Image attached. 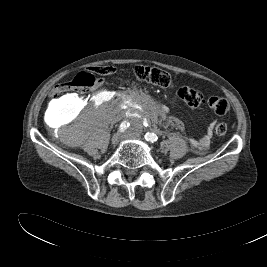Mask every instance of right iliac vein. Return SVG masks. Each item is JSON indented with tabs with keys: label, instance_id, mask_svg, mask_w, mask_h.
Here are the masks:
<instances>
[{
	"label": "right iliac vein",
	"instance_id": "obj_1",
	"mask_svg": "<svg viewBox=\"0 0 267 267\" xmlns=\"http://www.w3.org/2000/svg\"><path fill=\"white\" fill-rule=\"evenodd\" d=\"M121 138H122V135L120 133H116L113 135V137L111 139V143L113 145H117Z\"/></svg>",
	"mask_w": 267,
	"mask_h": 267
}]
</instances>
